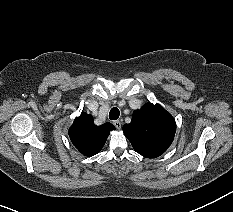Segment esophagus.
I'll return each instance as SVG.
<instances>
[{
	"label": "esophagus",
	"instance_id": "34e87169",
	"mask_svg": "<svg viewBox=\"0 0 233 212\" xmlns=\"http://www.w3.org/2000/svg\"><path fill=\"white\" fill-rule=\"evenodd\" d=\"M114 126L117 128V129H121V126H122V123L121 121L119 120H116L113 122Z\"/></svg>",
	"mask_w": 233,
	"mask_h": 212
}]
</instances>
